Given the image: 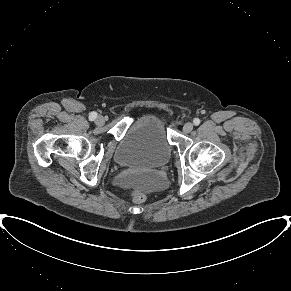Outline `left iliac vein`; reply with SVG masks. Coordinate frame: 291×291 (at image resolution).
<instances>
[{"instance_id": "left-iliac-vein-1", "label": "left iliac vein", "mask_w": 291, "mask_h": 291, "mask_svg": "<svg viewBox=\"0 0 291 291\" xmlns=\"http://www.w3.org/2000/svg\"><path fill=\"white\" fill-rule=\"evenodd\" d=\"M192 129H193V124L190 123V122L184 124V126H183V132L184 133H189V132L192 131Z\"/></svg>"}]
</instances>
